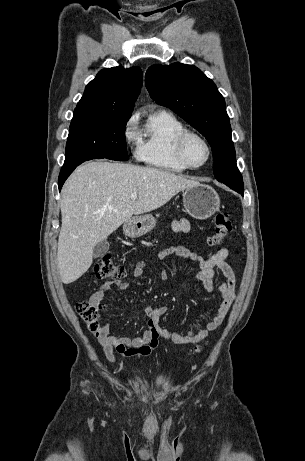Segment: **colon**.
Segmentation results:
<instances>
[{
    "instance_id": "1",
    "label": "colon",
    "mask_w": 305,
    "mask_h": 461,
    "mask_svg": "<svg viewBox=\"0 0 305 461\" xmlns=\"http://www.w3.org/2000/svg\"><path fill=\"white\" fill-rule=\"evenodd\" d=\"M232 228L231 217L227 213H217L215 216V232L209 238V244L213 246L221 244L228 237ZM126 273V269L123 266L115 264L109 255L103 256L95 267V274L99 279L116 280L124 277ZM75 309L87 323L90 331L98 332L100 330V315L106 309L103 303L93 300L78 301ZM195 351L200 352L201 348L197 347Z\"/></svg>"
}]
</instances>
